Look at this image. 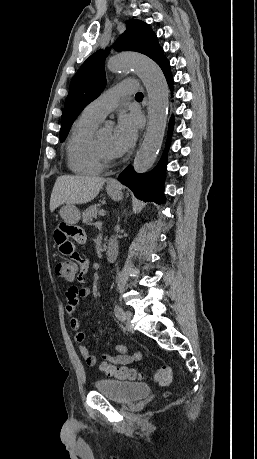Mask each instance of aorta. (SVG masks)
Returning a JSON list of instances; mask_svg holds the SVG:
<instances>
[{
    "label": "aorta",
    "mask_w": 257,
    "mask_h": 459,
    "mask_svg": "<svg viewBox=\"0 0 257 459\" xmlns=\"http://www.w3.org/2000/svg\"><path fill=\"white\" fill-rule=\"evenodd\" d=\"M112 72L134 69L144 83L149 100V122L145 138L134 159V169L144 173L154 164L162 146L169 105V90L161 68L151 59L136 54H118L107 61Z\"/></svg>",
    "instance_id": "obj_1"
}]
</instances>
